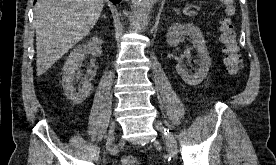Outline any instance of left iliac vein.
I'll return each mask as SVG.
<instances>
[{"label": "left iliac vein", "instance_id": "left-iliac-vein-1", "mask_svg": "<svg viewBox=\"0 0 276 165\" xmlns=\"http://www.w3.org/2000/svg\"><path fill=\"white\" fill-rule=\"evenodd\" d=\"M154 127L157 130H161V126L158 122L154 123ZM165 140H166V145L168 146L170 155L172 157H176V155H177V143H176V140H175L173 134L169 131L168 132L165 131Z\"/></svg>", "mask_w": 276, "mask_h": 165}]
</instances>
